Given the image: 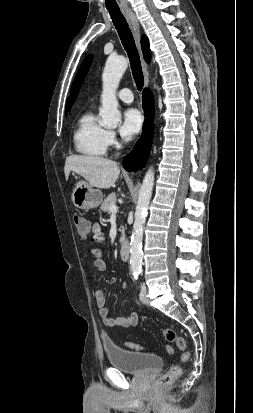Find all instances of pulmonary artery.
Wrapping results in <instances>:
<instances>
[{"instance_id":"1","label":"pulmonary artery","mask_w":253,"mask_h":413,"mask_svg":"<svg viewBox=\"0 0 253 413\" xmlns=\"http://www.w3.org/2000/svg\"><path fill=\"white\" fill-rule=\"evenodd\" d=\"M117 96L121 101L125 103H131L133 101L132 91L128 88H123L119 90Z\"/></svg>"}]
</instances>
